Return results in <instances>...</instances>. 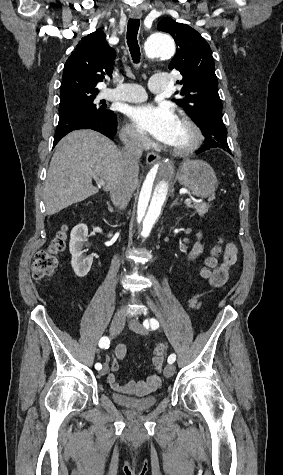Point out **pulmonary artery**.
<instances>
[{"mask_svg":"<svg viewBox=\"0 0 283 475\" xmlns=\"http://www.w3.org/2000/svg\"><path fill=\"white\" fill-rule=\"evenodd\" d=\"M119 87L124 88H106V95H116L113 100L125 101V102H140L142 100H148L150 93L144 91L143 87L135 83H125ZM149 88L154 92L156 96H163L165 94V81L164 80H150Z\"/></svg>","mask_w":283,"mask_h":475,"instance_id":"pulmonary-artery-1","label":"pulmonary artery"}]
</instances>
